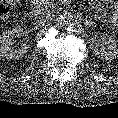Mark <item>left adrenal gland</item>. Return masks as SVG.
Masks as SVG:
<instances>
[{
  "label": "left adrenal gland",
  "mask_w": 118,
  "mask_h": 118,
  "mask_svg": "<svg viewBox=\"0 0 118 118\" xmlns=\"http://www.w3.org/2000/svg\"><path fill=\"white\" fill-rule=\"evenodd\" d=\"M87 23H88L89 25H93V22H90V21H88V20H87Z\"/></svg>",
  "instance_id": "left-adrenal-gland-1"
}]
</instances>
